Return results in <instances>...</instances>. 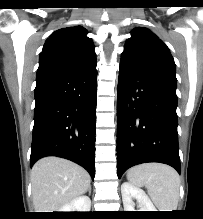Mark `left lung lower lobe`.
<instances>
[{
	"instance_id": "left-lung-lower-lobe-1",
	"label": "left lung lower lobe",
	"mask_w": 203,
	"mask_h": 219,
	"mask_svg": "<svg viewBox=\"0 0 203 219\" xmlns=\"http://www.w3.org/2000/svg\"><path fill=\"white\" fill-rule=\"evenodd\" d=\"M176 81L120 62L117 100L118 177L130 167L168 164L180 173Z\"/></svg>"
}]
</instances>
